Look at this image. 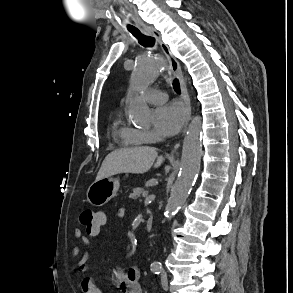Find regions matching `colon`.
<instances>
[{
	"label": "colon",
	"instance_id": "obj_1",
	"mask_svg": "<svg viewBox=\"0 0 293 293\" xmlns=\"http://www.w3.org/2000/svg\"><path fill=\"white\" fill-rule=\"evenodd\" d=\"M81 224L86 228L87 231L93 232L100 228L101 218L98 216V212H95L91 209H84L80 214ZM99 288L93 286L91 293H98Z\"/></svg>",
	"mask_w": 293,
	"mask_h": 293
}]
</instances>
